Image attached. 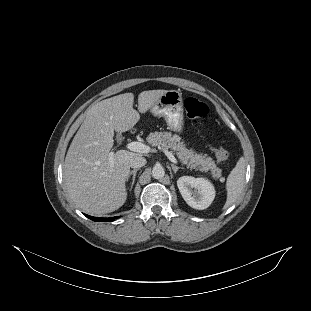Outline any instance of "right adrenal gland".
I'll list each match as a JSON object with an SVG mask.
<instances>
[{
  "label": "right adrenal gland",
  "mask_w": 311,
  "mask_h": 311,
  "mask_svg": "<svg viewBox=\"0 0 311 311\" xmlns=\"http://www.w3.org/2000/svg\"><path fill=\"white\" fill-rule=\"evenodd\" d=\"M138 170H139V168H138V169L132 170V171L129 173L127 179H126V182H128V181H129V178H130L131 175H132V183H131L130 191H132V189H133L134 182H135V178H136V173H137Z\"/></svg>",
  "instance_id": "2a0ac1e0"
}]
</instances>
